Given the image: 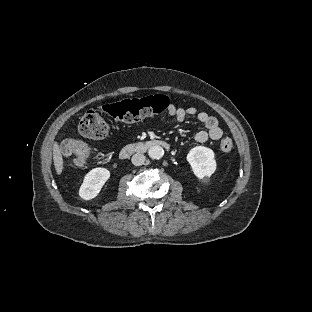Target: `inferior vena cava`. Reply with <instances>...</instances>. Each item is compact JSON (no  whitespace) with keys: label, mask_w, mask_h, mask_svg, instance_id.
Instances as JSON below:
<instances>
[{"label":"inferior vena cava","mask_w":312,"mask_h":312,"mask_svg":"<svg viewBox=\"0 0 312 312\" xmlns=\"http://www.w3.org/2000/svg\"><path fill=\"white\" fill-rule=\"evenodd\" d=\"M145 156L142 153H136L132 156V164L135 166H140L145 163Z\"/></svg>","instance_id":"602c4592"}]
</instances>
